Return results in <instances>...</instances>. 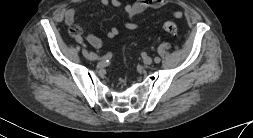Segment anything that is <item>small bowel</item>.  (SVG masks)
I'll return each instance as SVG.
<instances>
[{
	"label": "small bowel",
	"mask_w": 253,
	"mask_h": 138,
	"mask_svg": "<svg viewBox=\"0 0 253 138\" xmlns=\"http://www.w3.org/2000/svg\"><path fill=\"white\" fill-rule=\"evenodd\" d=\"M103 5H111L114 7H123L126 15L127 21L125 22V28L128 30H137L139 25L134 21V18L147 9H160L167 5V0H135L133 3H124L122 0H100ZM171 14L175 18H182L183 12L181 10H172ZM76 10L70 8L65 12V22L67 25L72 26L75 23ZM121 33L120 29L117 27H112L108 30L106 36L109 39L117 37ZM78 41H81V37H77ZM87 42L94 48H101L103 46V40L93 34L89 33L86 36Z\"/></svg>",
	"instance_id": "obj_1"
}]
</instances>
